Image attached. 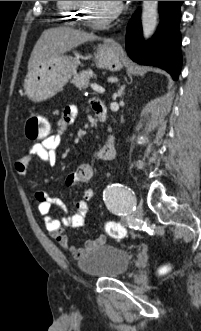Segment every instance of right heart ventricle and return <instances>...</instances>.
I'll use <instances>...</instances> for the list:
<instances>
[{"label": "right heart ventricle", "instance_id": "e07e8e85", "mask_svg": "<svg viewBox=\"0 0 201 331\" xmlns=\"http://www.w3.org/2000/svg\"><path fill=\"white\" fill-rule=\"evenodd\" d=\"M75 1H57V8L62 21L74 25L79 16Z\"/></svg>", "mask_w": 201, "mask_h": 331}]
</instances>
